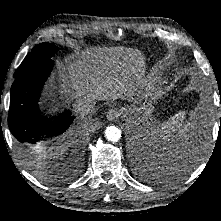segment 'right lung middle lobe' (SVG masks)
Returning a JSON list of instances; mask_svg holds the SVG:
<instances>
[{
  "instance_id": "dd1d6c3e",
  "label": "right lung middle lobe",
  "mask_w": 221,
  "mask_h": 221,
  "mask_svg": "<svg viewBox=\"0 0 221 221\" xmlns=\"http://www.w3.org/2000/svg\"><path fill=\"white\" fill-rule=\"evenodd\" d=\"M57 52V47L50 43H41L35 46L30 53L25 57L21 65L14 73V78L30 69L36 64L50 59Z\"/></svg>"
}]
</instances>
